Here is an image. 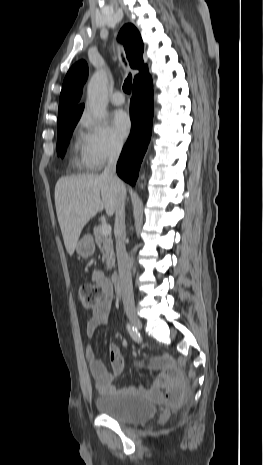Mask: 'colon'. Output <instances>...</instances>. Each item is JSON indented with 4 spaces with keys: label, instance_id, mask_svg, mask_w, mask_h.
Listing matches in <instances>:
<instances>
[{
    "label": "colon",
    "instance_id": "1",
    "mask_svg": "<svg viewBox=\"0 0 263 465\" xmlns=\"http://www.w3.org/2000/svg\"><path fill=\"white\" fill-rule=\"evenodd\" d=\"M103 294V289L93 284H84L78 290L79 301L86 309H92L99 304Z\"/></svg>",
    "mask_w": 263,
    "mask_h": 465
}]
</instances>
